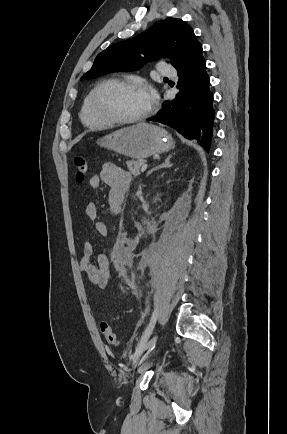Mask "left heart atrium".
I'll use <instances>...</instances> for the list:
<instances>
[{"label": "left heart atrium", "instance_id": "1", "mask_svg": "<svg viewBox=\"0 0 287 434\" xmlns=\"http://www.w3.org/2000/svg\"><path fill=\"white\" fill-rule=\"evenodd\" d=\"M146 96L149 101V105H153L156 101V94L151 88H145Z\"/></svg>", "mask_w": 287, "mask_h": 434}]
</instances>
